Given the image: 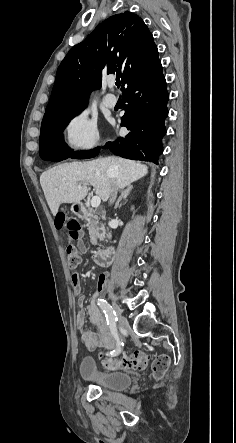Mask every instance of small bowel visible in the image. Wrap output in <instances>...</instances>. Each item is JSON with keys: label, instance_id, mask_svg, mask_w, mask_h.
Instances as JSON below:
<instances>
[{"label": "small bowel", "instance_id": "small-bowel-1", "mask_svg": "<svg viewBox=\"0 0 236 443\" xmlns=\"http://www.w3.org/2000/svg\"><path fill=\"white\" fill-rule=\"evenodd\" d=\"M78 248L80 251L85 252L86 246L83 242L78 243ZM73 275L76 276V279H73ZM106 281L107 274H100L96 290L94 293V299H97L100 294H102L106 290ZM72 283L74 292L76 294H80L82 291L81 283L79 281V277L77 272H73L72 274ZM84 298L81 297L79 299L80 310L76 316V325L79 329L84 328L85 322V311L83 309ZM86 312L89 315L90 323L95 331L84 330L81 334L82 343L89 349H95L98 347H103L106 349H111L115 345H117V340L113 336L109 325L107 324V320L100 312L95 303H91L86 307Z\"/></svg>", "mask_w": 236, "mask_h": 443}]
</instances>
